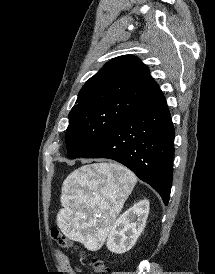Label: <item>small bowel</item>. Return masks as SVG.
<instances>
[{"instance_id":"small-bowel-1","label":"small bowel","mask_w":215,"mask_h":274,"mask_svg":"<svg viewBox=\"0 0 215 274\" xmlns=\"http://www.w3.org/2000/svg\"><path fill=\"white\" fill-rule=\"evenodd\" d=\"M58 257H59V262H60L62 269L67 272H70L71 274H75L71 265H70L68 258L62 253H59Z\"/></svg>"}]
</instances>
